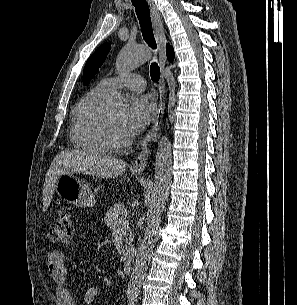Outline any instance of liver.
Wrapping results in <instances>:
<instances>
[{"label": "liver", "mask_w": 297, "mask_h": 305, "mask_svg": "<svg viewBox=\"0 0 297 305\" xmlns=\"http://www.w3.org/2000/svg\"><path fill=\"white\" fill-rule=\"evenodd\" d=\"M125 168L126 163L123 160L79 151H61L56 155L47 171L43 189V210L46 211L49 207L55 183L62 174L81 172L102 178H115Z\"/></svg>", "instance_id": "6515ba94"}]
</instances>
